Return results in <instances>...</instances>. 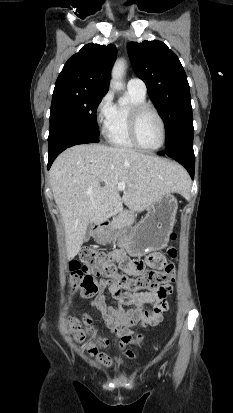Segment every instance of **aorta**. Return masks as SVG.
I'll return each mask as SVG.
<instances>
[{
    "instance_id": "762f6f07",
    "label": "aorta",
    "mask_w": 233,
    "mask_h": 413,
    "mask_svg": "<svg viewBox=\"0 0 233 413\" xmlns=\"http://www.w3.org/2000/svg\"><path fill=\"white\" fill-rule=\"evenodd\" d=\"M125 61L119 59L115 62L112 72H111V81L110 86L115 90H122L124 85L122 83L123 76L125 74Z\"/></svg>"
}]
</instances>
